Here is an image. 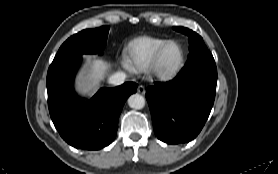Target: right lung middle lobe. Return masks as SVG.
<instances>
[{
    "label": "right lung middle lobe",
    "mask_w": 278,
    "mask_h": 174,
    "mask_svg": "<svg viewBox=\"0 0 278 174\" xmlns=\"http://www.w3.org/2000/svg\"><path fill=\"white\" fill-rule=\"evenodd\" d=\"M109 32V26L83 30L68 38L60 47L51 65L82 54H102Z\"/></svg>",
    "instance_id": "obj_1"
}]
</instances>
